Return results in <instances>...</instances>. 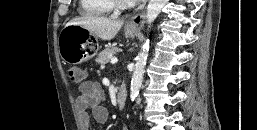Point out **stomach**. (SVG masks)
<instances>
[{
    "label": "stomach",
    "mask_w": 257,
    "mask_h": 130,
    "mask_svg": "<svg viewBox=\"0 0 257 130\" xmlns=\"http://www.w3.org/2000/svg\"><path fill=\"white\" fill-rule=\"evenodd\" d=\"M127 37H134L138 29L128 25L124 28ZM91 33L80 25H66L59 34L58 48L62 60L69 64H78L93 58L98 49L90 41Z\"/></svg>",
    "instance_id": "1"
}]
</instances>
